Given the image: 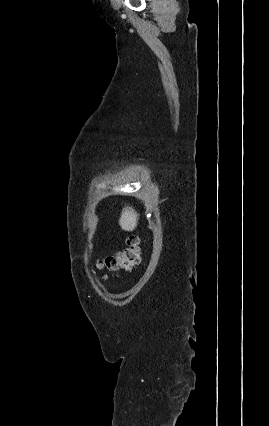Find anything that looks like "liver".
<instances>
[{
  "instance_id": "liver-1",
  "label": "liver",
  "mask_w": 269,
  "mask_h": 426,
  "mask_svg": "<svg viewBox=\"0 0 269 426\" xmlns=\"http://www.w3.org/2000/svg\"><path fill=\"white\" fill-rule=\"evenodd\" d=\"M139 215L132 207H125L119 218V225L122 230L131 232L135 230L138 224Z\"/></svg>"
}]
</instances>
